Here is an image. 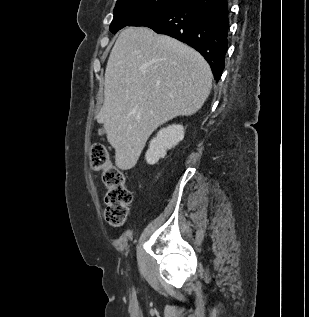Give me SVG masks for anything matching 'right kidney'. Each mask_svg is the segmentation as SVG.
<instances>
[{
  "mask_svg": "<svg viewBox=\"0 0 309 317\" xmlns=\"http://www.w3.org/2000/svg\"><path fill=\"white\" fill-rule=\"evenodd\" d=\"M184 127L179 124L162 128L150 142L145 158L149 165L156 164L166 156L167 150L176 146L184 138Z\"/></svg>",
  "mask_w": 309,
  "mask_h": 317,
  "instance_id": "1",
  "label": "right kidney"
}]
</instances>
